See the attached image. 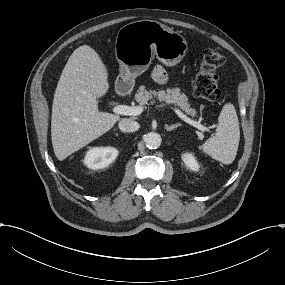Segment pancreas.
Returning a JSON list of instances; mask_svg holds the SVG:
<instances>
[{
    "instance_id": "pancreas-1",
    "label": "pancreas",
    "mask_w": 285,
    "mask_h": 285,
    "mask_svg": "<svg viewBox=\"0 0 285 285\" xmlns=\"http://www.w3.org/2000/svg\"><path fill=\"white\" fill-rule=\"evenodd\" d=\"M153 97H156L159 101H165L168 104H175L176 106L180 107L181 110L185 111L188 115L192 117L196 115V110L190 108V104L188 103V97L185 94L180 93L179 88H168L166 89V91H147L145 86L142 85L139 87L137 93L135 94V100L141 105L147 104L149 100L153 99ZM150 103L154 104L155 101L152 100Z\"/></svg>"
}]
</instances>
